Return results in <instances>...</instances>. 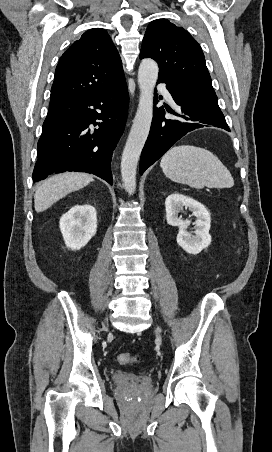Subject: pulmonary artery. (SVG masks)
<instances>
[{
	"label": "pulmonary artery",
	"instance_id": "1",
	"mask_svg": "<svg viewBox=\"0 0 272 452\" xmlns=\"http://www.w3.org/2000/svg\"><path fill=\"white\" fill-rule=\"evenodd\" d=\"M156 88L158 91H161L166 98H168L169 100L171 99L170 93L164 88V84L158 83Z\"/></svg>",
	"mask_w": 272,
	"mask_h": 452
}]
</instances>
